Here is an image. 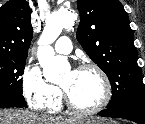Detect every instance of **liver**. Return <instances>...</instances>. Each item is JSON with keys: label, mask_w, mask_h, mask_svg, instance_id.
Segmentation results:
<instances>
[{"label": "liver", "mask_w": 145, "mask_h": 124, "mask_svg": "<svg viewBox=\"0 0 145 124\" xmlns=\"http://www.w3.org/2000/svg\"><path fill=\"white\" fill-rule=\"evenodd\" d=\"M80 118H52L18 109L0 110V124H76Z\"/></svg>", "instance_id": "obj_1"}]
</instances>
